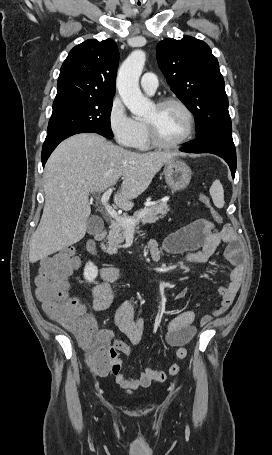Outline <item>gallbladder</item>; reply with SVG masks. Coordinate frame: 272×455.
I'll return each instance as SVG.
<instances>
[{
	"label": "gallbladder",
	"instance_id": "gallbladder-1",
	"mask_svg": "<svg viewBox=\"0 0 272 455\" xmlns=\"http://www.w3.org/2000/svg\"><path fill=\"white\" fill-rule=\"evenodd\" d=\"M103 228H104L103 221L101 218L97 216H93L87 221V230L88 233L91 235L100 233L103 230Z\"/></svg>",
	"mask_w": 272,
	"mask_h": 455
}]
</instances>
